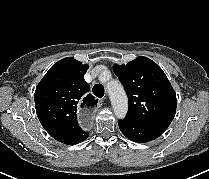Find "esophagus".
<instances>
[{"instance_id": "34e87169", "label": "esophagus", "mask_w": 209, "mask_h": 179, "mask_svg": "<svg viewBox=\"0 0 209 179\" xmlns=\"http://www.w3.org/2000/svg\"><path fill=\"white\" fill-rule=\"evenodd\" d=\"M97 98L94 95H85L78 105L77 121L83 128H90L94 124V110Z\"/></svg>"}]
</instances>
